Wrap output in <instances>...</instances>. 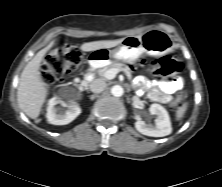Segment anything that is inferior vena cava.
Returning a JSON list of instances; mask_svg holds the SVG:
<instances>
[{"mask_svg":"<svg viewBox=\"0 0 222 187\" xmlns=\"http://www.w3.org/2000/svg\"><path fill=\"white\" fill-rule=\"evenodd\" d=\"M93 93H101L106 88V83L102 79H95L89 85Z\"/></svg>","mask_w":222,"mask_h":187,"instance_id":"602c4592","label":"inferior vena cava"}]
</instances>
